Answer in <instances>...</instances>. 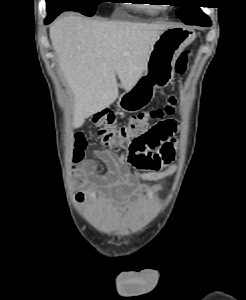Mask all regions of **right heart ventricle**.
Wrapping results in <instances>:
<instances>
[{"instance_id": "e07e8e85", "label": "right heart ventricle", "mask_w": 246, "mask_h": 300, "mask_svg": "<svg viewBox=\"0 0 246 300\" xmlns=\"http://www.w3.org/2000/svg\"><path fill=\"white\" fill-rule=\"evenodd\" d=\"M143 9L148 15H155L157 13V9L150 5L143 7Z\"/></svg>"}]
</instances>
